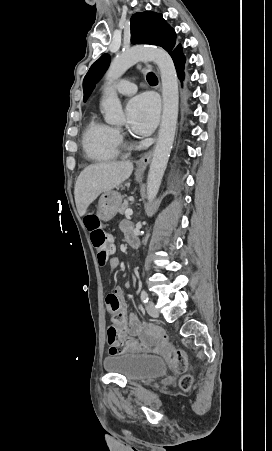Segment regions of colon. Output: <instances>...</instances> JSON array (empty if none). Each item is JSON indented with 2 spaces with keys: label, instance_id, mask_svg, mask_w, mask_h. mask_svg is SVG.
<instances>
[{
  "label": "colon",
  "instance_id": "5ec220e1",
  "mask_svg": "<svg viewBox=\"0 0 272 451\" xmlns=\"http://www.w3.org/2000/svg\"><path fill=\"white\" fill-rule=\"evenodd\" d=\"M85 226L90 232L91 242L96 249L97 263L104 266L108 263L112 243L108 241L110 237L109 230L100 228L101 221L96 215H88L84 219ZM106 345L110 349L111 355H123L126 351H139L144 354L147 351L143 342H131L129 338H120L117 336L115 326H108L106 329ZM164 354H169V366L173 367L176 372L184 373L187 369L186 356L181 352L180 345H164ZM180 386L184 390H189L193 386V380L190 375H183L180 378Z\"/></svg>",
  "mask_w": 272,
  "mask_h": 451
}]
</instances>
